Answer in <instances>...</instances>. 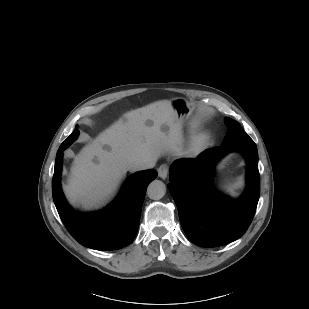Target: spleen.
Returning <instances> with one entry per match:
<instances>
[{
  "instance_id": "3e777b00",
  "label": "spleen",
  "mask_w": 309,
  "mask_h": 309,
  "mask_svg": "<svg viewBox=\"0 0 309 309\" xmlns=\"http://www.w3.org/2000/svg\"><path fill=\"white\" fill-rule=\"evenodd\" d=\"M234 189H235V187L233 186V185H227V186H225V190L227 191V192H229L231 195H235V192H234Z\"/></svg>"
}]
</instances>
